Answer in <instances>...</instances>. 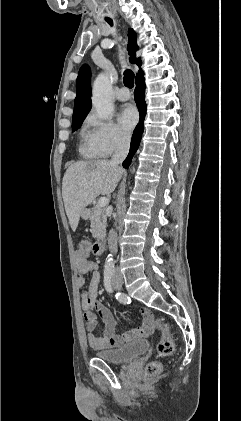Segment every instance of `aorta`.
I'll return each instance as SVG.
<instances>
[{"instance_id": "1", "label": "aorta", "mask_w": 241, "mask_h": 421, "mask_svg": "<svg viewBox=\"0 0 241 421\" xmlns=\"http://www.w3.org/2000/svg\"><path fill=\"white\" fill-rule=\"evenodd\" d=\"M111 92L112 87L107 75L104 73L99 74L93 84L92 103L101 119H107L113 112ZM106 265L112 266L113 259L108 257Z\"/></svg>"}]
</instances>
